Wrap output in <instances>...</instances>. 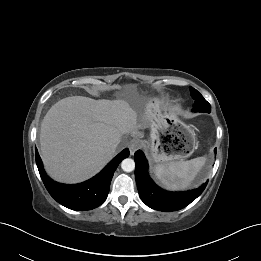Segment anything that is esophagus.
<instances>
[{
    "instance_id": "1",
    "label": "esophagus",
    "mask_w": 261,
    "mask_h": 261,
    "mask_svg": "<svg viewBox=\"0 0 261 261\" xmlns=\"http://www.w3.org/2000/svg\"><path fill=\"white\" fill-rule=\"evenodd\" d=\"M141 146H142V140L139 138H134L129 146L131 154H134V152L139 148H141Z\"/></svg>"
}]
</instances>
